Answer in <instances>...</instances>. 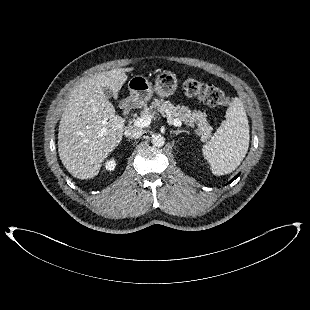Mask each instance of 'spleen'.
<instances>
[{
	"mask_svg": "<svg viewBox=\"0 0 310 310\" xmlns=\"http://www.w3.org/2000/svg\"><path fill=\"white\" fill-rule=\"evenodd\" d=\"M249 141V124L243 102L234 98L226 111V120L202 146V154L212 173L220 176L233 172L244 159Z\"/></svg>",
	"mask_w": 310,
	"mask_h": 310,
	"instance_id": "1",
	"label": "spleen"
}]
</instances>
